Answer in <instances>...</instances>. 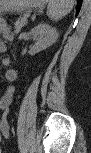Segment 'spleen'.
<instances>
[{"label":"spleen","mask_w":91,"mask_h":153,"mask_svg":"<svg viewBox=\"0 0 91 153\" xmlns=\"http://www.w3.org/2000/svg\"><path fill=\"white\" fill-rule=\"evenodd\" d=\"M74 1L72 0H49L47 13L49 18L58 20L67 15L73 8Z\"/></svg>","instance_id":"obj_1"}]
</instances>
